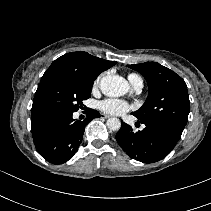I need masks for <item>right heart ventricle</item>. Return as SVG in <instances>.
<instances>
[{
  "instance_id": "e07e8e85",
  "label": "right heart ventricle",
  "mask_w": 211,
  "mask_h": 211,
  "mask_svg": "<svg viewBox=\"0 0 211 211\" xmlns=\"http://www.w3.org/2000/svg\"><path fill=\"white\" fill-rule=\"evenodd\" d=\"M128 79H129V81H130L132 84H134V83H136V82H138V81H142V79H141L138 75H136V74H130V75L128 76Z\"/></svg>"
}]
</instances>
